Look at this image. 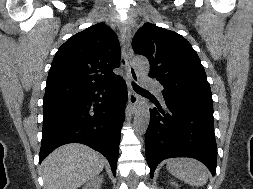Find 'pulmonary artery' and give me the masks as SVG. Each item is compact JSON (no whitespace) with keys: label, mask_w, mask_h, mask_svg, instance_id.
Returning a JSON list of instances; mask_svg holds the SVG:
<instances>
[{"label":"pulmonary artery","mask_w":253,"mask_h":189,"mask_svg":"<svg viewBox=\"0 0 253 189\" xmlns=\"http://www.w3.org/2000/svg\"><path fill=\"white\" fill-rule=\"evenodd\" d=\"M142 84L148 88H157V85L154 80L148 76L142 77Z\"/></svg>","instance_id":"obj_1"}]
</instances>
